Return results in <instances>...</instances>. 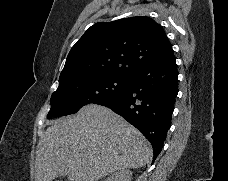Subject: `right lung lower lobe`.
<instances>
[{
	"instance_id": "98d812e1",
	"label": "right lung lower lobe",
	"mask_w": 228,
	"mask_h": 181,
	"mask_svg": "<svg viewBox=\"0 0 228 181\" xmlns=\"http://www.w3.org/2000/svg\"><path fill=\"white\" fill-rule=\"evenodd\" d=\"M177 94L178 72L172 51L139 69L120 97L102 105L124 117L151 142L155 159L170 128Z\"/></svg>"
}]
</instances>
